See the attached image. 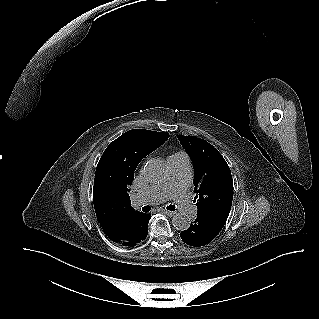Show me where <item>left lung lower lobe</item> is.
Returning <instances> with one entry per match:
<instances>
[{
    "mask_svg": "<svg viewBox=\"0 0 319 319\" xmlns=\"http://www.w3.org/2000/svg\"><path fill=\"white\" fill-rule=\"evenodd\" d=\"M229 212L198 211L196 219L187 230L181 232L183 242L190 246L200 247L211 242L223 228Z\"/></svg>",
    "mask_w": 319,
    "mask_h": 319,
    "instance_id": "0a47b994",
    "label": "left lung lower lobe"
}]
</instances>
